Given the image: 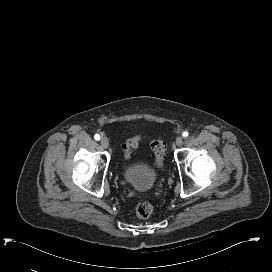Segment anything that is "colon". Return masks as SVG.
I'll use <instances>...</instances> for the list:
<instances>
[{"instance_id":"colon-1","label":"colon","mask_w":272,"mask_h":272,"mask_svg":"<svg viewBox=\"0 0 272 272\" xmlns=\"http://www.w3.org/2000/svg\"><path fill=\"white\" fill-rule=\"evenodd\" d=\"M140 138L138 136L129 139L124 145L123 149L125 152V157L130 158L132 151L138 147ZM152 152L154 159V167L160 168L162 162L165 158L166 145L164 141L160 138L152 142ZM153 212V205L148 199L141 200L135 208V213L140 219H147L151 216Z\"/></svg>"}]
</instances>
